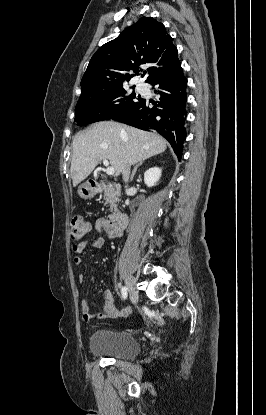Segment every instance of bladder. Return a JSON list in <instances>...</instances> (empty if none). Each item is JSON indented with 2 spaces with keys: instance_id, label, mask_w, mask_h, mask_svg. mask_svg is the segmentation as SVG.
<instances>
[{
  "instance_id": "bladder-1",
  "label": "bladder",
  "mask_w": 266,
  "mask_h": 415,
  "mask_svg": "<svg viewBox=\"0 0 266 415\" xmlns=\"http://www.w3.org/2000/svg\"><path fill=\"white\" fill-rule=\"evenodd\" d=\"M89 350L95 356L126 360L139 354L140 344L127 332L101 329L91 334Z\"/></svg>"
}]
</instances>
